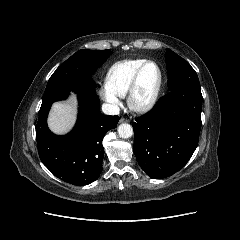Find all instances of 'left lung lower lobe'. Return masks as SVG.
<instances>
[{
    "instance_id": "obj_1",
    "label": "left lung lower lobe",
    "mask_w": 240,
    "mask_h": 240,
    "mask_svg": "<svg viewBox=\"0 0 240 240\" xmlns=\"http://www.w3.org/2000/svg\"><path fill=\"white\" fill-rule=\"evenodd\" d=\"M202 100L200 87L176 88L132 124L133 151L148 176H171L189 161L198 145Z\"/></svg>"
}]
</instances>
